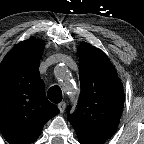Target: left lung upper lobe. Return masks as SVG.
Returning a JSON list of instances; mask_svg holds the SVG:
<instances>
[{"label":"left lung upper lobe","mask_w":144,"mask_h":144,"mask_svg":"<svg viewBox=\"0 0 144 144\" xmlns=\"http://www.w3.org/2000/svg\"><path fill=\"white\" fill-rule=\"evenodd\" d=\"M81 93L79 107L68 120L81 144H103L119 125L124 89L108 57L86 42L78 47Z\"/></svg>","instance_id":"left-lung-upper-lobe-1"}]
</instances>
